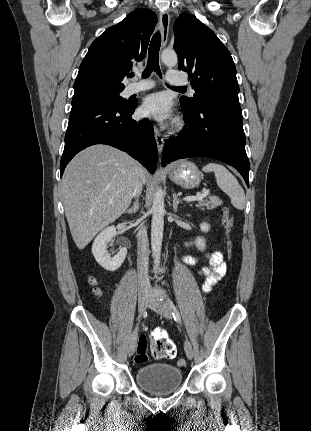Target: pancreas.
Returning a JSON list of instances; mask_svg holds the SVG:
<instances>
[{
  "label": "pancreas",
  "mask_w": 311,
  "mask_h": 431,
  "mask_svg": "<svg viewBox=\"0 0 311 431\" xmlns=\"http://www.w3.org/2000/svg\"><path fill=\"white\" fill-rule=\"evenodd\" d=\"M209 200H199V204H196L197 208H200V210H214V208H218V206H221L223 204L222 200L220 198H217V196H208Z\"/></svg>",
  "instance_id": "1"
}]
</instances>
